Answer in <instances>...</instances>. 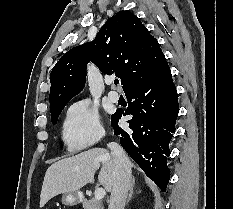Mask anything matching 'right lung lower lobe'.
<instances>
[{
  "mask_svg": "<svg viewBox=\"0 0 233 209\" xmlns=\"http://www.w3.org/2000/svg\"><path fill=\"white\" fill-rule=\"evenodd\" d=\"M129 106L112 115L114 134L122 147L162 191L170 179L167 157L179 112L178 96L170 68L165 65L152 79L125 93ZM132 115L129 129L118 127V120Z\"/></svg>",
  "mask_w": 233,
  "mask_h": 209,
  "instance_id": "98d812e1",
  "label": "right lung lower lobe"
}]
</instances>
